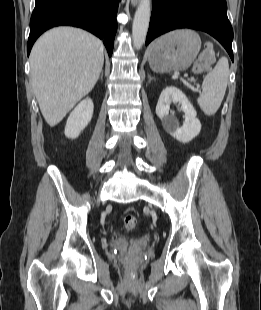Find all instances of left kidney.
Wrapping results in <instances>:
<instances>
[{"label": "left kidney", "mask_w": 261, "mask_h": 310, "mask_svg": "<svg viewBox=\"0 0 261 310\" xmlns=\"http://www.w3.org/2000/svg\"><path fill=\"white\" fill-rule=\"evenodd\" d=\"M171 103H179L185 113V121L182 127H179L178 121L169 114ZM156 114L165 130L182 143L190 142L200 133L201 124L196 118L197 114L193 105L177 87L168 86L163 89L157 102Z\"/></svg>", "instance_id": "left-kidney-1"}]
</instances>
